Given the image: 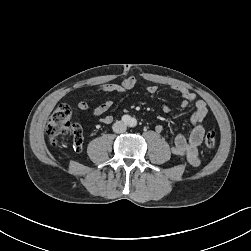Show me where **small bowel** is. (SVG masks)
<instances>
[{"mask_svg":"<svg viewBox=\"0 0 251 251\" xmlns=\"http://www.w3.org/2000/svg\"><path fill=\"white\" fill-rule=\"evenodd\" d=\"M137 84L138 80L135 77L130 76L124 78L120 83H108L100 85L97 87V90L105 93L124 95L129 90L136 87ZM173 90L180 94V106L182 108H185L189 104L193 103L195 106V111L191 116L193 128L188 138L178 134L173 142V145L171 146V152L173 155L181 159H186L187 162L192 166H198L200 163L198 146L201 144L205 133L204 121L207 116L208 109L205 101L198 99L196 94L187 88L174 87ZM146 92L151 98H155L158 93V87L156 85H150L146 87ZM113 105V100H107L95 108L89 107V105L83 101H80L77 104L81 111L91 114L102 124H110L113 121L112 115L107 113ZM162 111L167 115L172 114L171 107L166 104L162 106ZM155 130L156 132L160 133L163 131V126L157 125ZM74 148L77 151H80L82 149V143L78 146L74 144Z\"/></svg>","mask_w":251,"mask_h":251,"instance_id":"obj_1","label":"small bowel"}]
</instances>
